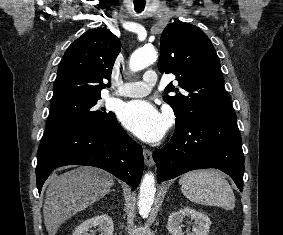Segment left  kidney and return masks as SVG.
Returning a JSON list of instances; mask_svg holds the SVG:
<instances>
[{
	"instance_id": "1",
	"label": "left kidney",
	"mask_w": 283,
	"mask_h": 235,
	"mask_svg": "<svg viewBox=\"0 0 283 235\" xmlns=\"http://www.w3.org/2000/svg\"><path fill=\"white\" fill-rule=\"evenodd\" d=\"M186 216L194 219L195 223L192 232L187 231L186 235H208L211 225L208 216L189 207L182 208L170 214L167 229L172 235H184L181 223Z\"/></svg>"
}]
</instances>
